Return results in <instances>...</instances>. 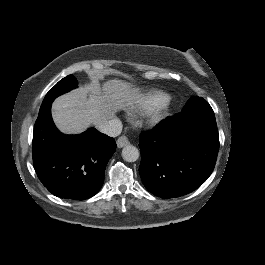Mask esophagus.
Masks as SVG:
<instances>
[{
  "instance_id": "obj_1",
  "label": "esophagus",
  "mask_w": 265,
  "mask_h": 265,
  "mask_svg": "<svg viewBox=\"0 0 265 265\" xmlns=\"http://www.w3.org/2000/svg\"><path fill=\"white\" fill-rule=\"evenodd\" d=\"M128 144H129V139L125 135H122L117 139V146L119 148H122Z\"/></svg>"
}]
</instances>
